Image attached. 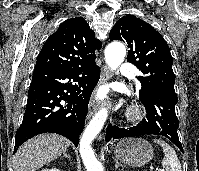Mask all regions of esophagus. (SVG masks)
<instances>
[{"mask_svg":"<svg viewBox=\"0 0 199 171\" xmlns=\"http://www.w3.org/2000/svg\"><path fill=\"white\" fill-rule=\"evenodd\" d=\"M110 76L111 75H110L109 69L106 66H103L102 70H101V76H100V79H99V85L106 83L110 79ZM98 108H99V101L93 95L90 99V102H89V114H90V116H92L94 113H96ZM102 138H103V135L100 134L98 136V140L100 141V140H102Z\"/></svg>","mask_w":199,"mask_h":171,"instance_id":"obj_1","label":"esophagus"}]
</instances>
